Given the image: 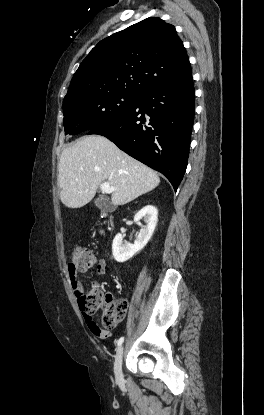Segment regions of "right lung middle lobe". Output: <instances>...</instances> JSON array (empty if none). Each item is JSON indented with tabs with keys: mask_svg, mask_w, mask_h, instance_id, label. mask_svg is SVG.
Returning a JSON list of instances; mask_svg holds the SVG:
<instances>
[{
	"mask_svg": "<svg viewBox=\"0 0 264 415\" xmlns=\"http://www.w3.org/2000/svg\"><path fill=\"white\" fill-rule=\"evenodd\" d=\"M139 95L107 92L72 97L63 101L65 134H78L105 124L131 110Z\"/></svg>",
	"mask_w": 264,
	"mask_h": 415,
	"instance_id": "obj_1",
	"label": "right lung middle lobe"
}]
</instances>
